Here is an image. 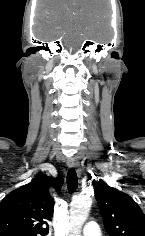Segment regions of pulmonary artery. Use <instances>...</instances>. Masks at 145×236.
Listing matches in <instances>:
<instances>
[{"mask_svg": "<svg viewBox=\"0 0 145 236\" xmlns=\"http://www.w3.org/2000/svg\"><path fill=\"white\" fill-rule=\"evenodd\" d=\"M83 236H101L99 225L91 221L82 230Z\"/></svg>", "mask_w": 145, "mask_h": 236, "instance_id": "obj_1", "label": "pulmonary artery"}]
</instances>
